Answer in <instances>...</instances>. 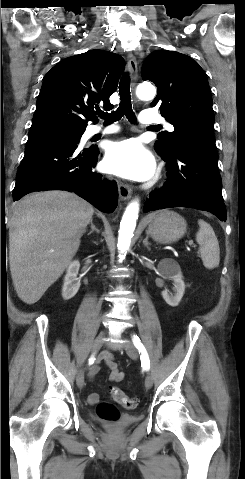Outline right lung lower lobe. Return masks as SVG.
<instances>
[{"mask_svg":"<svg viewBox=\"0 0 245 479\" xmlns=\"http://www.w3.org/2000/svg\"><path fill=\"white\" fill-rule=\"evenodd\" d=\"M79 140L55 138L27 148L16 175L14 201L34 191L66 190L101 211L113 212L118 204L117 185L92 170L99 149L79 151Z\"/></svg>","mask_w":245,"mask_h":479,"instance_id":"1","label":"right lung lower lobe"}]
</instances>
